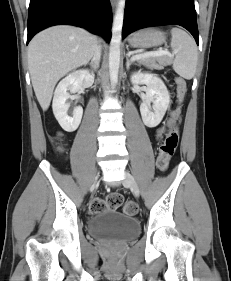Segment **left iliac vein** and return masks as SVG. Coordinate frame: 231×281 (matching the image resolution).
Listing matches in <instances>:
<instances>
[{
    "label": "left iliac vein",
    "mask_w": 231,
    "mask_h": 281,
    "mask_svg": "<svg viewBox=\"0 0 231 281\" xmlns=\"http://www.w3.org/2000/svg\"><path fill=\"white\" fill-rule=\"evenodd\" d=\"M123 185L130 188L135 196L140 195V190L134 177L127 171L124 173Z\"/></svg>",
    "instance_id": "4c4485c4"
}]
</instances>
